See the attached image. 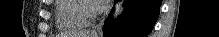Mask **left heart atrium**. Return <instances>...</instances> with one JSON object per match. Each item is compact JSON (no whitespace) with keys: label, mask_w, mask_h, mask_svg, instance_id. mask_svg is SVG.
Here are the masks:
<instances>
[{"label":"left heart atrium","mask_w":219,"mask_h":37,"mask_svg":"<svg viewBox=\"0 0 219 37\" xmlns=\"http://www.w3.org/2000/svg\"><path fill=\"white\" fill-rule=\"evenodd\" d=\"M108 1L106 0H95L94 3L97 7L100 8H105V5L107 4Z\"/></svg>","instance_id":"obj_1"}]
</instances>
